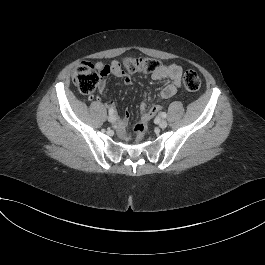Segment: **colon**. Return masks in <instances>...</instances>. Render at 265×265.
I'll return each mask as SVG.
<instances>
[{
    "mask_svg": "<svg viewBox=\"0 0 265 265\" xmlns=\"http://www.w3.org/2000/svg\"><path fill=\"white\" fill-rule=\"evenodd\" d=\"M122 67L124 72L129 74L154 73L161 67V63L157 59L149 57H125L122 60ZM72 80L81 93L90 94L99 83L100 73L92 63L83 61L74 68ZM182 80L185 89L189 92H196L201 86L200 78L194 70H187ZM159 110L160 106H152L136 123L134 131L137 142L144 139L149 121Z\"/></svg>",
    "mask_w": 265,
    "mask_h": 265,
    "instance_id": "colon-1",
    "label": "colon"
}]
</instances>
